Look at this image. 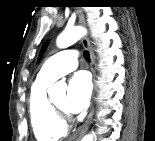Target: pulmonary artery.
<instances>
[{
	"mask_svg": "<svg viewBox=\"0 0 155 141\" xmlns=\"http://www.w3.org/2000/svg\"><path fill=\"white\" fill-rule=\"evenodd\" d=\"M77 66L78 53L74 49L68 48L51 56L38 73V78L54 81L73 71Z\"/></svg>",
	"mask_w": 155,
	"mask_h": 141,
	"instance_id": "pulmonary-artery-1",
	"label": "pulmonary artery"
}]
</instances>
